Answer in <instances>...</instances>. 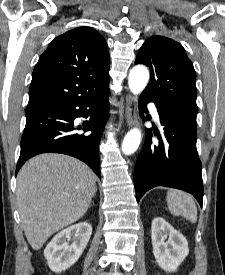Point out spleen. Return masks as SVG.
Returning <instances> with one entry per match:
<instances>
[{"label":"spleen","instance_id":"spleen-1","mask_svg":"<svg viewBox=\"0 0 225 275\" xmlns=\"http://www.w3.org/2000/svg\"><path fill=\"white\" fill-rule=\"evenodd\" d=\"M166 200L171 214L182 216L192 223L197 221V207L191 196L180 190L170 189Z\"/></svg>","mask_w":225,"mask_h":275}]
</instances>
